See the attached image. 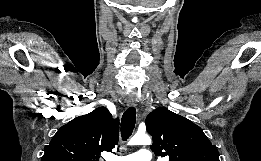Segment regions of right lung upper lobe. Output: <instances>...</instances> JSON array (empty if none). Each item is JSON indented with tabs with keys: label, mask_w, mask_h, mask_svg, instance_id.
<instances>
[{
	"label": "right lung upper lobe",
	"mask_w": 261,
	"mask_h": 161,
	"mask_svg": "<svg viewBox=\"0 0 261 161\" xmlns=\"http://www.w3.org/2000/svg\"><path fill=\"white\" fill-rule=\"evenodd\" d=\"M119 120L105 107L62 126L45 146L41 161H99V154L118 143Z\"/></svg>",
	"instance_id": "cb5924a9"
}]
</instances>
